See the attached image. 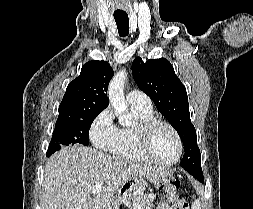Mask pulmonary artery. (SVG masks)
Instances as JSON below:
<instances>
[{
	"instance_id": "1",
	"label": "pulmonary artery",
	"mask_w": 253,
	"mask_h": 209,
	"mask_svg": "<svg viewBox=\"0 0 253 209\" xmlns=\"http://www.w3.org/2000/svg\"><path fill=\"white\" fill-rule=\"evenodd\" d=\"M127 101L132 104L152 106L150 98L140 90H130L127 94Z\"/></svg>"
}]
</instances>
